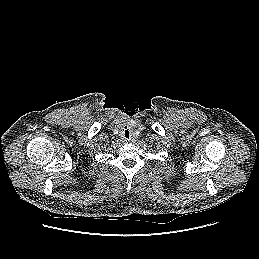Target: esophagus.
I'll return each instance as SVG.
<instances>
[{
	"label": "esophagus",
	"mask_w": 259,
	"mask_h": 259,
	"mask_svg": "<svg viewBox=\"0 0 259 259\" xmlns=\"http://www.w3.org/2000/svg\"><path fill=\"white\" fill-rule=\"evenodd\" d=\"M130 139H131V137L129 135L125 136V134H124V140L129 141Z\"/></svg>",
	"instance_id": "34e87169"
}]
</instances>
